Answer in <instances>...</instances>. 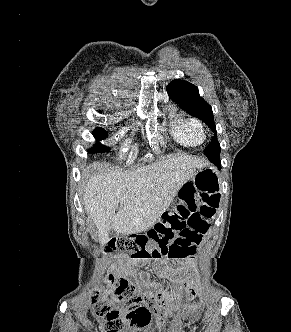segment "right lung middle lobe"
<instances>
[{"label":"right lung middle lobe","instance_id":"1","mask_svg":"<svg viewBox=\"0 0 291 332\" xmlns=\"http://www.w3.org/2000/svg\"><path fill=\"white\" fill-rule=\"evenodd\" d=\"M93 136L97 139V141H100L102 139H105L107 137V132L98 127L92 132ZM110 148L102 145L100 142H97L93 148L89 149L88 152L91 153H98V152H107Z\"/></svg>","mask_w":291,"mask_h":332}]
</instances>
